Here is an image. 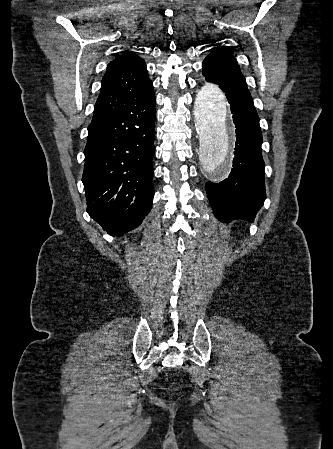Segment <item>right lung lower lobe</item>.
I'll list each match as a JSON object with an SVG mask.
<instances>
[{"label":"right lung lower lobe","mask_w":333,"mask_h":449,"mask_svg":"<svg viewBox=\"0 0 333 449\" xmlns=\"http://www.w3.org/2000/svg\"><path fill=\"white\" fill-rule=\"evenodd\" d=\"M155 104L152 86L88 127L87 212L112 236L136 228L152 206Z\"/></svg>","instance_id":"right-lung-lower-lobe-1"}]
</instances>
